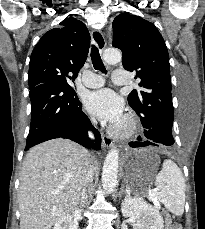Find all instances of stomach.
I'll return each mask as SVG.
<instances>
[{"label":"stomach","mask_w":205,"mask_h":229,"mask_svg":"<svg viewBox=\"0 0 205 229\" xmlns=\"http://www.w3.org/2000/svg\"><path fill=\"white\" fill-rule=\"evenodd\" d=\"M159 159L154 154L145 157H128L124 161L123 174L132 186L141 187L154 175Z\"/></svg>","instance_id":"stomach-1"}]
</instances>
